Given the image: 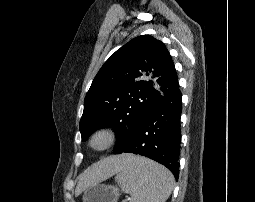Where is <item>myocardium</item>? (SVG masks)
Masks as SVG:
<instances>
[{
  "mask_svg": "<svg viewBox=\"0 0 255 202\" xmlns=\"http://www.w3.org/2000/svg\"><path fill=\"white\" fill-rule=\"evenodd\" d=\"M116 140L117 135L113 128L101 127L90 135L88 146L96 152H103L110 149Z\"/></svg>",
  "mask_w": 255,
  "mask_h": 202,
  "instance_id": "obj_1",
  "label": "myocardium"
}]
</instances>
